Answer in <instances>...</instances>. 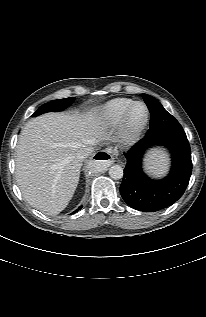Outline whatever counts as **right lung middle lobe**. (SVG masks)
Returning <instances> with one entry per match:
<instances>
[{
	"label": "right lung middle lobe",
	"mask_w": 206,
	"mask_h": 317,
	"mask_svg": "<svg viewBox=\"0 0 206 317\" xmlns=\"http://www.w3.org/2000/svg\"><path fill=\"white\" fill-rule=\"evenodd\" d=\"M74 99V97H69L48 102L40 106L31 117H35L46 112L63 110L68 107L74 101Z\"/></svg>",
	"instance_id": "obj_1"
}]
</instances>
